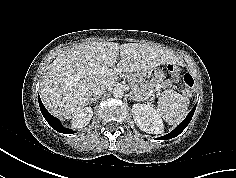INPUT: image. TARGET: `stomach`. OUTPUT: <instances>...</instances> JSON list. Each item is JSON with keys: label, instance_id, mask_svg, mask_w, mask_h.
Segmentation results:
<instances>
[{"label": "stomach", "instance_id": "obj_1", "mask_svg": "<svg viewBox=\"0 0 236 178\" xmlns=\"http://www.w3.org/2000/svg\"><path fill=\"white\" fill-rule=\"evenodd\" d=\"M137 78L144 89L149 92L163 82L165 75L161 69L155 67L146 71H141L138 73Z\"/></svg>", "mask_w": 236, "mask_h": 178}]
</instances>
